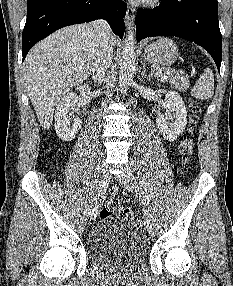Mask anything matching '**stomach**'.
I'll use <instances>...</instances> for the list:
<instances>
[{
  "instance_id": "0dacf381",
  "label": "stomach",
  "mask_w": 233,
  "mask_h": 286,
  "mask_svg": "<svg viewBox=\"0 0 233 286\" xmlns=\"http://www.w3.org/2000/svg\"><path fill=\"white\" fill-rule=\"evenodd\" d=\"M142 57L146 62L169 66L178 58V49L171 39L159 38L144 48Z\"/></svg>"
}]
</instances>
